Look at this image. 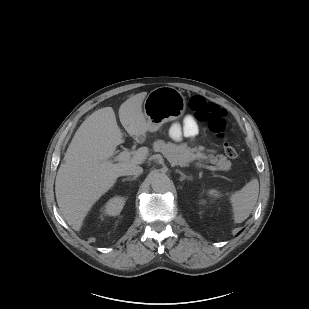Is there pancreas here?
I'll return each instance as SVG.
<instances>
[{
	"instance_id": "1",
	"label": "pancreas",
	"mask_w": 309,
	"mask_h": 309,
	"mask_svg": "<svg viewBox=\"0 0 309 309\" xmlns=\"http://www.w3.org/2000/svg\"><path fill=\"white\" fill-rule=\"evenodd\" d=\"M155 152H161L171 163L185 165L190 161V155L199 156V154L191 153L184 146L176 145L171 142L165 143L163 140H157L153 144ZM209 161L216 164L220 170H229L231 162L224 155L209 156Z\"/></svg>"
}]
</instances>
